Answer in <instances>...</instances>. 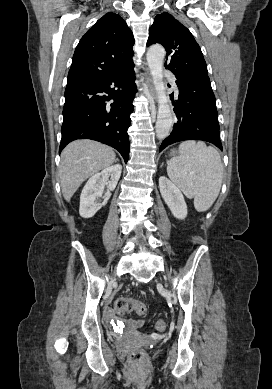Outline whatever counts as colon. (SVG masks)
<instances>
[{
    "label": "colon",
    "mask_w": 272,
    "mask_h": 389,
    "mask_svg": "<svg viewBox=\"0 0 272 389\" xmlns=\"http://www.w3.org/2000/svg\"><path fill=\"white\" fill-rule=\"evenodd\" d=\"M114 310L116 314L123 316L129 313H136L138 315H144L147 312L145 303L134 299L132 297H121L115 301ZM155 328L158 331H164L166 329V322L164 320H157ZM129 361L134 366H142L146 362V353L142 349H135L129 354Z\"/></svg>",
    "instance_id": "1"
}]
</instances>
